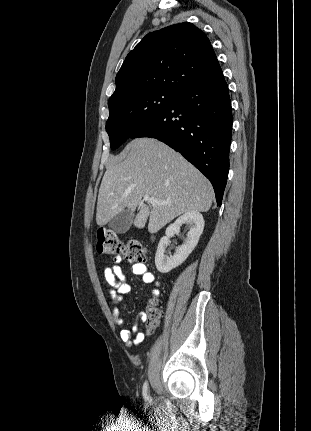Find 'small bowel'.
<instances>
[{
    "instance_id": "1",
    "label": "small bowel",
    "mask_w": 311,
    "mask_h": 431,
    "mask_svg": "<svg viewBox=\"0 0 311 431\" xmlns=\"http://www.w3.org/2000/svg\"><path fill=\"white\" fill-rule=\"evenodd\" d=\"M121 258L115 257L113 259V265L107 266L104 269V278L109 286V292L111 295V300L114 305L113 313L119 325H124L125 320L119 317L120 309L119 304L122 299L127 296L132 287L129 283L125 281V274L120 266ZM131 272L134 275H138L142 277L143 282L147 284H154V288L151 291V295L153 297H157L159 295V290L157 288L158 283L155 281V276L152 272L149 271L148 267L143 263H136L132 265ZM141 319H144V315H140ZM134 334H136L135 339H133ZM120 337L125 342L126 345L131 346L133 344H137L142 342L144 339V334L137 332V327L133 326L132 329L123 328L120 331Z\"/></svg>"
}]
</instances>
